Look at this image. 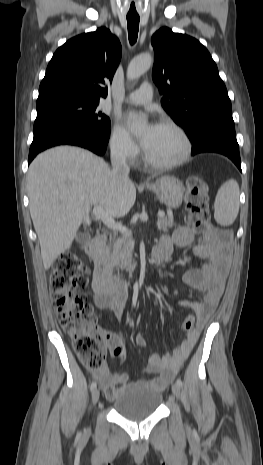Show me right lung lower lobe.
<instances>
[{
  "label": "right lung lower lobe",
  "mask_w": 263,
  "mask_h": 465,
  "mask_svg": "<svg viewBox=\"0 0 263 465\" xmlns=\"http://www.w3.org/2000/svg\"><path fill=\"white\" fill-rule=\"evenodd\" d=\"M109 136L98 137L85 130L74 127H57L46 129L34 134L33 142L29 151L28 164L34 157L57 145H75L91 150L97 155H104L107 151Z\"/></svg>",
  "instance_id": "98d812e1"
}]
</instances>
